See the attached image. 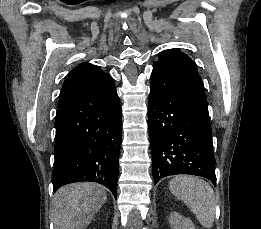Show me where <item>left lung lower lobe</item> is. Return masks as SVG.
Wrapping results in <instances>:
<instances>
[{"instance_id": "left-lung-lower-lobe-1", "label": "left lung lower lobe", "mask_w": 261, "mask_h": 229, "mask_svg": "<svg viewBox=\"0 0 261 229\" xmlns=\"http://www.w3.org/2000/svg\"><path fill=\"white\" fill-rule=\"evenodd\" d=\"M148 113L154 179L190 174L216 185L212 130L200 75L154 64Z\"/></svg>"}]
</instances>
